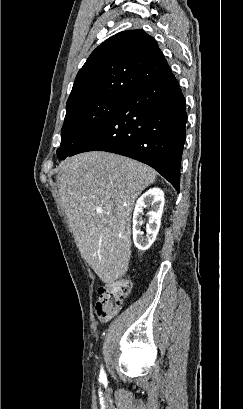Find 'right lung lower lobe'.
I'll use <instances>...</instances> for the list:
<instances>
[{
	"instance_id": "right-lung-lower-lobe-1",
	"label": "right lung lower lobe",
	"mask_w": 243,
	"mask_h": 409,
	"mask_svg": "<svg viewBox=\"0 0 243 409\" xmlns=\"http://www.w3.org/2000/svg\"><path fill=\"white\" fill-rule=\"evenodd\" d=\"M186 122L185 98L170 73L126 97L106 125L68 156L94 150L127 156L156 169L179 192Z\"/></svg>"
}]
</instances>
